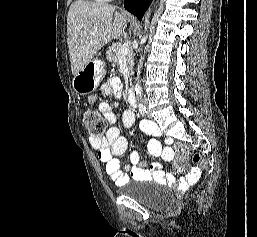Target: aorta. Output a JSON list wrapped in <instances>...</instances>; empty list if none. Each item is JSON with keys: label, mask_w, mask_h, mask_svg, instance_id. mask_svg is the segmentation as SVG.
Segmentation results:
<instances>
[{"label": "aorta", "mask_w": 257, "mask_h": 237, "mask_svg": "<svg viewBox=\"0 0 257 237\" xmlns=\"http://www.w3.org/2000/svg\"><path fill=\"white\" fill-rule=\"evenodd\" d=\"M149 17H150V10L145 14V17H144V28H145V32L148 30V27H149ZM147 40V34L143 36L142 38V41L143 42H146ZM143 59L144 57L141 56L140 58V61L138 63V67H137V80L139 81V77H140V73H141V67H142V64H143ZM135 91H136V95L137 96H141L142 94V88L139 84V82L136 83L135 85Z\"/></svg>", "instance_id": "aorta-1"}]
</instances>
